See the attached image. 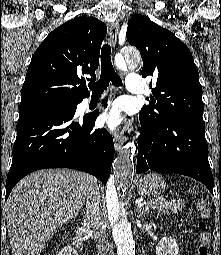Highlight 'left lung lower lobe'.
Here are the masks:
<instances>
[{"label": "left lung lower lobe", "instance_id": "obj_1", "mask_svg": "<svg viewBox=\"0 0 221 255\" xmlns=\"http://www.w3.org/2000/svg\"><path fill=\"white\" fill-rule=\"evenodd\" d=\"M139 117L141 134L136 172L154 170L186 175L202 182L213 193L205 123L172 116L159 124H152Z\"/></svg>", "mask_w": 221, "mask_h": 255}]
</instances>
